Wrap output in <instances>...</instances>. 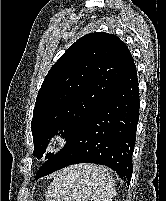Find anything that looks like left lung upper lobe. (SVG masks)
<instances>
[{
	"label": "left lung upper lobe",
	"instance_id": "1",
	"mask_svg": "<svg viewBox=\"0 0 166 201\" xmlns=\"http://www.w3.org/2000/svg\"><path fill=\"white\" fill-rule=\"evenodd\" d=\"M133 63L116 35L90 33L73 43L51 67L38 92L31 125L33 155L41 158L47 140L57 133L68 140Z\"/></svg>",
	"mask_w": 166,
	"mask_h": 201
}]
</instances>
